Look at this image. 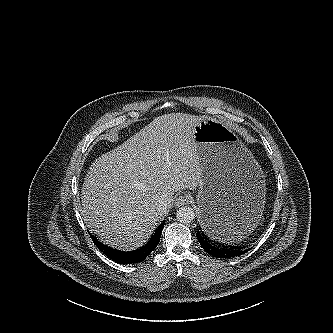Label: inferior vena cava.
<instances>
[{
  "label": "inferior vena cava",
  "instance_id": "inferior-vena-cava-1",
  "mask_svg": "<svg viewBox=\"0 0 333 333\" xmlns=\"http://www.w3.org/2000/svg\"><path fill=\"white\" fill-rule=\"evenodd\" d=\"M159 207H160V210H161L162 212H166V210H167V205H166L165 203H161V205H159Z\"/></svg>",
  "mask_w": 333,
  "mask_h": 333
}]
</instances>
